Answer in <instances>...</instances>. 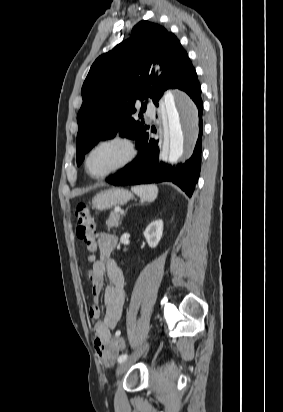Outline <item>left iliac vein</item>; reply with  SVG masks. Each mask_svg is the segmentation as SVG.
I'll list each match as a JSON object with an SVG mask.
<instances>
[{
  "label": "left iliac vein",
  "mask_w": 283,
  "mask_h": 412,
  "mask_svg": "<svg viewBox=\"0 0 283 412\" xmlns=\"http://www.w3.org/2000/svg\"><path fill=\"white\" fill-rule=\"evenodd\" d=\"M147 347H148V344L144 345L143 348L141 350H139L136 354H134L130 359L125 360L124 362H122L118 366L117 373L121 374L125 370H127L134 362H136L142 356V354L145 352Z\"/></svg>",
  "instance_id": "obj_1"
}]
</instances>
